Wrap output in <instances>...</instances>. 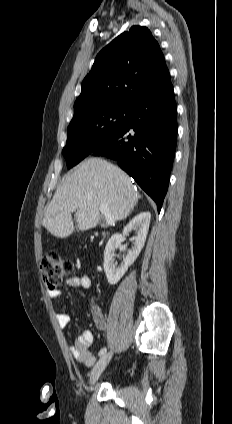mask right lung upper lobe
<instances>
[{
  "label": "right lung upper lobe",
  "mask_w": 232,
  "mask_h": 424,
  "mask_svg": "<svg viewBox=\"0 0 232 424\" xmlns=\"http://www.w3.org/2000/svg\"><path fill=\"white\" fill-rule=\"evenodd\" d=\"M168 73L163 53L150 30L133 26L96 56L75 101L74 116L95 106H132Z\"/></svg>",
  "instance_id": "obj_1"
}]
</instances>
